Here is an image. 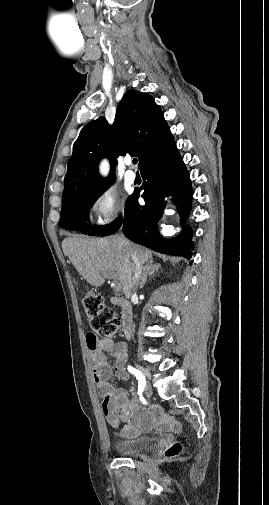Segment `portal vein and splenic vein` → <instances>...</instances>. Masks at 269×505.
I'll return each instance as SVG.
<instances>
[{"label": "portal vein and splenic vein", "mask_w": 269, "mask_h": 505, "mask_svg": "<svg viewBox=\"0 0 269 505\" xmlns=\"http://www.w3.org/2000/svg\"><path fill=\"white\" fill-rule=\"evenodd\" d=\"M106 278L113 279L112 276H106ZM114 289H115L116 292H120L121 291V284H119V283L114 284Z\"/></svg>", "instance_id": "1"}]
</instances>
